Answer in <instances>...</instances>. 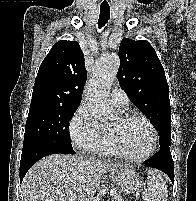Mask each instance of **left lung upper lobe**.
I'll use <instances>...</instances> for the list:
<instances>
[{
    "instance_id": "obj_1",
    "label": "left lung upper lobe",
    "mask_w": 196,
    "mask_h": 201,
    "mask_svg": "<svg viewBox=\"0 0 196 201\" xmlns=\"http://www.w3.org/2000/svg\"><path fill=\"white\" fill-rule=\"evenodd\" d=\"M117 78L129 99L159 133L160 148L171 145L169 87L162 64L148 41L123 38Z\"/></svg>"
}]
</instances>
